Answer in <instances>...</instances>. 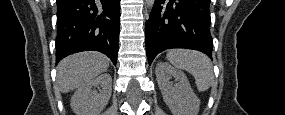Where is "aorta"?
<instances>
[{"label": "aorta", "instance_id": "obj_1", "mask_svg": "<svg viewBox=\"0 0 285 115\" xmlns=\"http://www.w3.org/2000/svg\"><path fill=\"white\" fill-rule=\"evenodd\" d=\"M155 0H145L146 7L151 10L154 6Z\"/></svg>", "mask_w": 285, "mask_h": 115}]
</instances>
